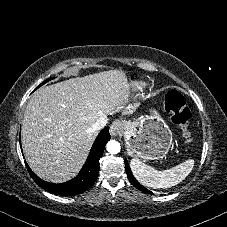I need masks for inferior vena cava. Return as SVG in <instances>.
<instances>
[{
  "instance_id": "1",
  "label": "inferior vena cava",
  "mask_w": 227,
  "mask_h": 227,
  "mask_svg": "<svg viewBox=\"0 0 227 227\" xmlns=\"http://www.w3.org/2000/svg\"><path fill=\"white\" fill-rule=\"evenodd\" d=\"M107 122H108V118L106 116H101L93 124L92 129L94 131H99L106 126Z\"/></svg>"
}]
</instances>
